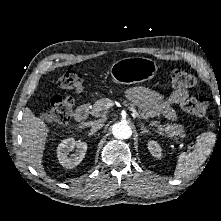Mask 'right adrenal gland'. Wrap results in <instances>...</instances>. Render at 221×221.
<instances>
[{"label":"right adrenal gland","mask_w":221,"mask_h":221,"mask_svg":"<svg viewBox=\"0 0 221 221\" xmlns=\"http://www.w3.org/2000/svg\"><path fill=\"white\" fill-rule=\"evenodd\" d=\"M94 133L93 132H90L89 134H88V136H92Z\"/></svg>","instance_id":"right-adrenal-gland-1"}]
</instances>
